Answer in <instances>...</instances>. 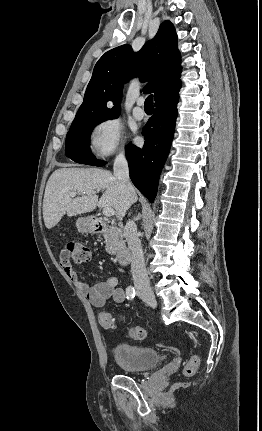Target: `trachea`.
Masks as SVG:
<instances>
[{
  "label": "trachea",
  "instance_id": "trachea-1",
  "mask_svg": "<svg viewBox=\"0 0 262 431\" xmlns=\"http://www.w3.org/2000/svg\"><path fill=\"white\" fill-rule=\"evenodd\" d=\"M145 110H153V95H149L144 103Z\"/></svg>",
  "mask_w": 262,
  "mask_h": 431
}]
</instances>
